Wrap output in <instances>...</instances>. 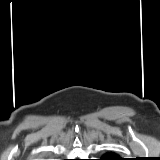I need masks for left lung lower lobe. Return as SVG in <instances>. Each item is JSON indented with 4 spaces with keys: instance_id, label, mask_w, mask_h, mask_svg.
<instances>
[{
    "instance_id": "1",
    "label": "left lung lower lobe",
    "mask_w": 160,
    "mask_h": 160,
    "mask_svg": "<svg viewBox=\"0 0 160 160\" xmlns=\"http://www.w3.org/2000/svg\"><path fill=\"white\" fill-rule=\"evenodd\" d=\"M100 160H122V158L117 157L114 153H106V155L103 158H100Z\"/></svg>"
}]
</instances>
